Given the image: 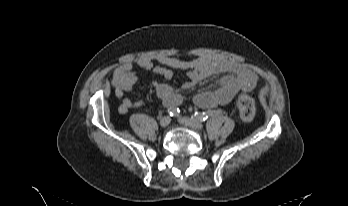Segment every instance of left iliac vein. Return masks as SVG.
<instances>
[{"instance_id": "1", "label": "left iliac vein", "mask_w": 348, "mask_h": 206, "mask_svg": "<svg viewBox=\"0 0 348 206\" xmlns=\"http://www.w3.org/2000/svg\"><path fill=\"white\" fill-rule=\"evenodd\" d=\"M179 122L186 127H189L194 130H201L203 128V125L201 122L196 121L189 117H181L179 118Z\"/></svg>"}]
</instances>
